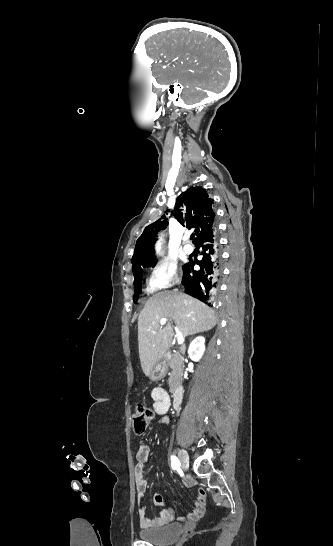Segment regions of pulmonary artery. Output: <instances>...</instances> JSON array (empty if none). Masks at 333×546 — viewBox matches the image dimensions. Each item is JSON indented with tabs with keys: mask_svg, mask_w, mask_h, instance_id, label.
Instances as JSON below:
<instances>
[{
	"mask_svg": "<svg viewBox=\"0 0 333 546\" xmlns=\"http://www.w3.org/2000/svg\"><path fill=\"white\" fill-rule=\"evenodd\" d=\"M193 250L194 249H193L192 245H190L188 243L183 246V251H184L185 254H191L193 252Z\"/></svg>",
	"mask_w": 333,
	"mask_h": 546,
	"instance_id": "e3ab8cb5",
	"label": "pulmonary artery"
}]
</instances>
